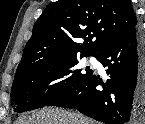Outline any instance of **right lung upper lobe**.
<instances>
[{
	"label": "right lung upper lobe",
	"mask_w": 145,
	"mask_h": 124,
	"mask_svg": "<svg viewBox=\"0 0 145 124\" xmlns=\"http://www.w3.org/2000/svg\"><path fill=\"white\" fill-rule=\"evenodd\" d=\"M137 26L130 0H58L33 27L15 77L55 58L97 55Z\"/></svg>",
	"instance_id": "cb5924a9"
}]
</instances>
